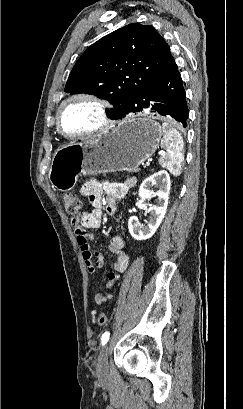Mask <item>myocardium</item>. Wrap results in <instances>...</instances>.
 I'll use <instances>...</instances> for the list:
<instances>
[{"label":"myocardium","mask_w":243,"mask_h":409,"mask_svg":"<svg viewBox=\"0 0 243 409\" xmlns=\"http://www.w3.org/2000/svg\"><path fill=\"white\" fill-rule=\"evenodd\" d=\"M75 100L89 101L96 106L98 110L99 119H100V124L97 128L84 132V133H79V134H67L63 131L61 127L62 111L66 105H68L69 103ZM112 126H113V121L109 114L108 103L102 98H100L99 96L92 94V93H88V92H79V93L72 94L71 96H69L64 101L61 102V104L58 107L57 113H56V129L61 136L69 140L82 139V138H86L90 136L103 134L109 131L112 128Z\"/></svg>","instance_id":"obj_1"}]
</instances>
